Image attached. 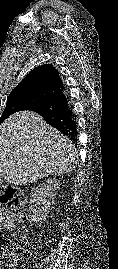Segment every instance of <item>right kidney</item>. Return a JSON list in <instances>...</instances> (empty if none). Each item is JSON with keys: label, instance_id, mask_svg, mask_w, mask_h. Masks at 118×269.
<instances>
[{"label": "right kidney", "instance_id": "1", "mask_svg": "<svg viewBox=\"0 0 118 269\" xmlns=\"http://www.w3.org/2000/svg\"><path fill=\"white\" fill-rule=\"evenodd\" d=\"M58 185L59 182L55 178L48 179L32 190L29 214L33 223L38 224L46 220L51 205L54 203Z\"/></svg>", "mask_w": 118, "mask_h": 269}]
</instances>
